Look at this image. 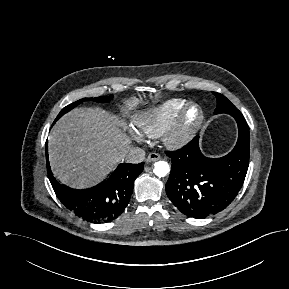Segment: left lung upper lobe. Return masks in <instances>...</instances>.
Returning a JSON list of instances; mask_svg holds the SVG:
<instances>
[{
    "label": "left lung upper lobe",
    "instance_id": "5c2ea615",
    "mask_svg": "<svg viewBox=\"0 0 289 289\" xmlns=\"http://www.w3.org/2000/svg\"><path fill=\"white\" fill-rule=\"evenodd\" d=\"M217 98V107L215 109V114L227 113L232 115L234 118L236 116H243L242 113L222 94L213 92Z\"/></svg>",
    "mask_w": 289,
    "mask_h": 289
}]
</instances>
